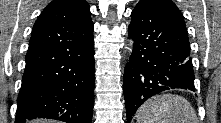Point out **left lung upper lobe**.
<instances>
[{
  "instance_id": "1",
  "label": "left lung upper lobe",
  "mask_w": 221,
  "mask_h": 123,
  "mask_svg": "<svg viewBox=\"0 0 221 123\" xmlns=\"http://www.w3.org/2000/svg\"><path fill=\"white\" fill-rule=\"evenodd\" d=\"M146 3L156 13L168 17L171 20L185 25L182 14L171 0H140Z\"/></svg>"
}]
</instances>
